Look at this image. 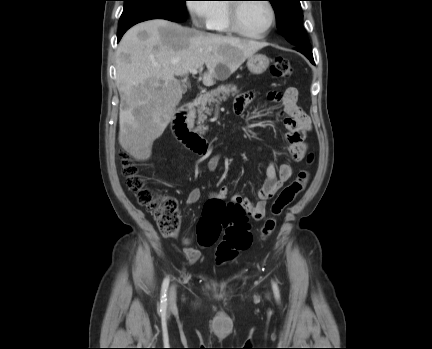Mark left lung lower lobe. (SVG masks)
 Segmentation results:
<instances>
[{
	"label": "left lung lower lobe",
	"mask_w": 432,
	"mask_h": 349,
	"mask_svg": "<svg viewBox=\"0 0 432 349\" xmlns=\"http://www.w3.org/2000/svg\"><path fill=\"white\" fill-rule=\"evenodd\" d=\"M295 49L304 54L310 60V62L315 65L311 48L296 47Z\"/></svg>",
	"instance_id": "1"
}]
</instances>
